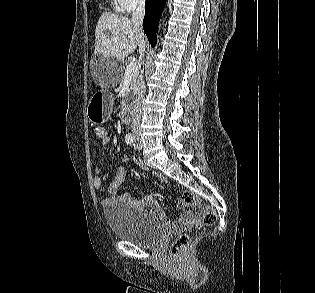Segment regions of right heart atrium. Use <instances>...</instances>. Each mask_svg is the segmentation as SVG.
<instances>
[{
	"mask_svg": "<svg viewBox=\"0 0 315 293\" xmlns=\"http://www.w3.org/2000/svg\"><path fill=\"white\" fill-rule=\"evenodd\" d=\"M144 2L145 0H117L119 8L124 12H131Z\"/></svg>",
	"mask_w": 315,
	"mask_h": 293,
	"instance_id": "1",
	"label": "right heart atrium"
}]
</instances>
